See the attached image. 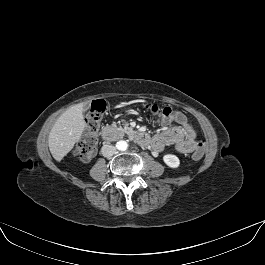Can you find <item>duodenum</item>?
<instances>
[{
	"label": "duodenum",
	"mask_w": 265,
	"mask_h": 265,
	"mask_svg": "<svg viewBox=\"0 0 265 265\" xmlns=\"http://www.w3.org/2000/svg\"><path fill=\"white\" fill-rule=\"evenodd\" d=\"M120 135L121 131L115 127L105 126L101 131V137L105 143L118 138ZM129 136L142 146H148L151 144L150 137L143 131H133L129 134Z\"/></svg>",
	"instance_id": "obj_1"
}]
</instances>
